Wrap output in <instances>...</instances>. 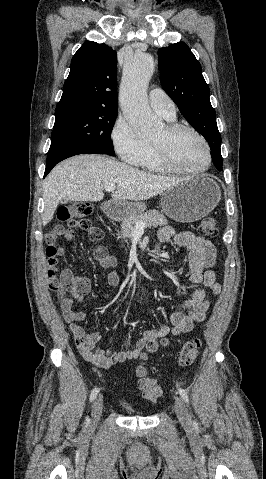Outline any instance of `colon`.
<instances>
[{"label": "colon", "instance_id": "obj_1", "mask_svg": "<svg viewBox=\"0 0 266 479\" xmlns=\"http://www.w3.org/2000/svg\"><path fill=\"white\" fill-rule=\"evenodd\" d=\"M92 213V205L89 202H76L68 206H63L57 211V219L60 223L67 226L73 231H80L87 235L89 240L93 243H99L103 238V233L100 228L96 227L88 218ZM61 227H57L46 235L47 247L46 255L51 267L58 264L59 256L62 254V249L57 247L54 242L59 237ZM199 231L207 237H216L218 229L214 218L206 217L201 221ZM54 271H49V276L54 278ZM158 342H151L147 346L149 353H154L158 350ZM201 341L199 339H191L186 341L180 351L178 352V362L181 366H189L193 364L199 356ZM143 363L137 367L136 374L138 377V387L144 399L150 402L157 401L161 396V390L156 380L151 376V371L146 361L148 354L141 355Z\"/></svg>", "mask_w": 266, "mask_h": 479}]
</instances>
